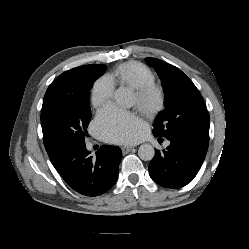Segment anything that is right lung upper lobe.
Returning <instances> with one entry per match:
<instances>
[{
  "instance_id": "obj_1",
  "label": "right lung upper lobe",
  "mask_w": 249,
  "mask_h": 249,
  "mask_svg": "<svg viewBox=\"0 0 249 249\" xmlns=\"http://www.w3.org/2000/svg\"><path fill=\"white\" fill-rule=\"evenodd\" d=\"M79 67L73 68L71 70H68L66 72H64L63 74H61L47 89L46 94L44 96V100H43V106L46 105L49 101H51L53 99L54 96V88L63 82H66L68 80H70L72 78V76H74V74L78 71Z\"/></svg>"
}]
</instances>
